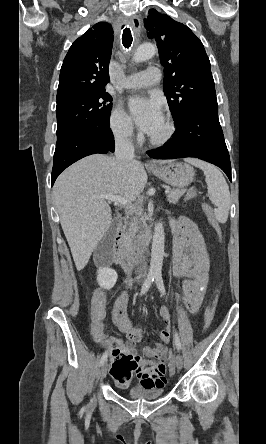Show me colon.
Instances as JSON below:
<instances>
[{"label":"colon","mask_w":266,"mask_h":444,"mask_svg":"<svg viewBox=\"0 0 266 444\" xmlns=\"http://www.w3.org/2000/svg\"><path fill=\"white\" fill-rule=\"evenodd\" d=\"M195 195H196V190L191 189L187 193L186 197H187V199H190V198H193ZM203 207H204V211L207 215L210 225L213 227L219 240L221 241V236H222L221 228H220L219 223L217 222V220L215 219V217L213 215L212 208L208 204H204ZM217 299H218V290H215L210 298L208 307H207L205 314H204V321H203V325H202L203 331H206L209 328V326L213 320L215 308H216V304H217ZM168 357L170 359H173L174 354L172 352H169Z\"/></svg>","instance_id":"5ec220e1"}]
</instances>
